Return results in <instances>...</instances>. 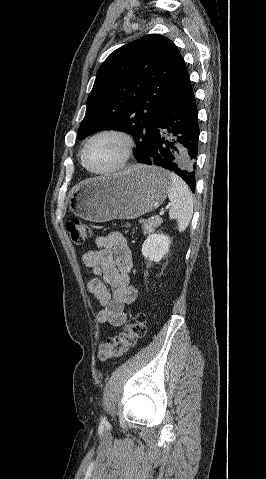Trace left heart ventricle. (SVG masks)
<instances>
[{
    "mask_svg": "<svg viewBox=\"0 0 266 479\" xmlns=\"http://www.w3.org/2000/svg\"><path fill=\"white\" fill-rule=\"evenodd\" d=\"M123 150L120 139L112 136L95 140L87 151V163L95 170H107L119 160Z\"/></svg>",
    "mask_w": 266,
    "mask_h": 479,
    "instance_id": "1",
    "label": "left heart ventricle"
}]
</instances>
